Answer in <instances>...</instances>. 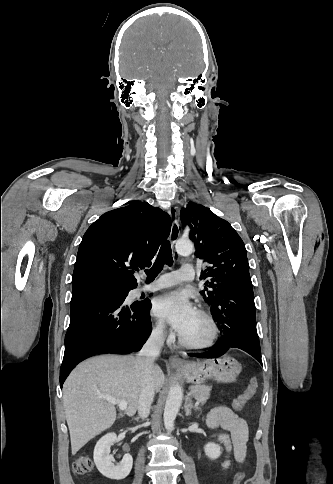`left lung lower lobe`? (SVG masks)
I'll list each match as a JSON object with an SVG mask.
<instances>
[{
	"label": "left lung lower lobe",
	"mask_w": 333,
	"mask_h": 484,
	"mask_svg": "<svg viewBox=\"0 0 333 484\" xmlns=\"http://www.w3.org/2000/svg\"><path fill=\"white\" fill-rule=\"evenodd\" d=\"M211 313L219 324L221 337L205 352L189 355L198 358H217L231 348H239L262 364L249 270L230 274L221 281Z\"/></svg>",
	"instance_id": "obj_1"
}]
</instances>
